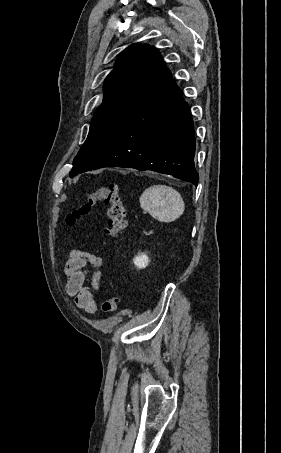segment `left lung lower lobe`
I'll return each instance as SVG.
<instances>
[{"instance_id":"0a47b994","label":"left lung lower lobe","mask_w":281,"mask_h":453,"mask_svg":"<svg viewBox=\"0 0 281 453\" xmlns=\"http://www.w3.org/2000/svg\"><path fill=\"white\" fill-rule=\"evenodd\" d=\"M190 109L166 66L102 150L79 173L102 167L152 170L198 184Z\"/></svg>"}]
</instances>
